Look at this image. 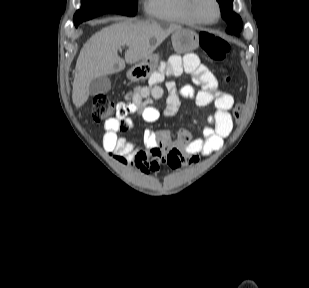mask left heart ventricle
Instances as JSON below:
<instances>
[{"label":"left heart ventricle","mask_w":309,"mask_h":288,"mask_svg":"<svg viewBox=\"0 0 309 288\" xmlns=\"http://www.w3.org/2000/svg\"><path fill=\"white\" fill-rule=\"evenodd\" d=\"M197 11L203 19L208 21L215 20L218 14L213 0H197Z\"/></svg>","instance_id":"1"}]
</instances>
